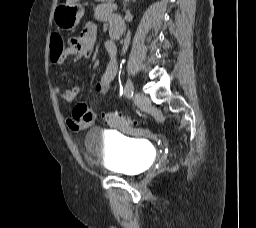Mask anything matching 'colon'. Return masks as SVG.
Segmentation results:
<instances>
[{
  "mask_svg": "<svg viewBox=\"0 0 256 228\" xmlns=\"http://www.w3.org/2000/svg\"><path fill=\"white\" fill-rule=\"evenodd\" d=\"M50 58L57 59L64 50V42L62 37L55 33L51 36L50 41ZM102 121L109 126L119 127V126H129L133 125L135 121L129 117H126L120 113L107 112L102 114Z\"/></svg>",
  "mask_w": 256,
  "mask_h": 228,
  "instance_id": "5ec220e1",
  "label": "colon"
}]
</instances>
